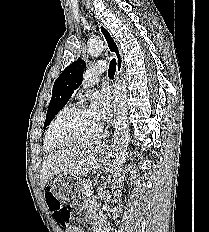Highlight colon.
<instances>
[{"label":"colon","instance_id":"obj_1","mask_svg":"<svg viewBox=\"0 0 209 232\" xmlns=\"http://www.w3.org/2000/svg\"><path fill=\"white\" fill-rule=\"evenodd\" d=\"M44 197L46 198L48 207L52 211L53 218L56 221L57 226H61L63 228L68 227L71 221L70 208L67 206H62L50 191L45 193Z\"/></svg>","mask_w":209,"mask_h":232}]
</instances>
